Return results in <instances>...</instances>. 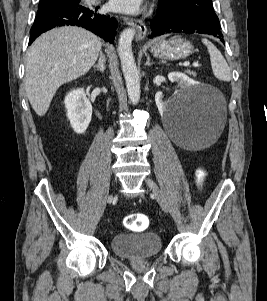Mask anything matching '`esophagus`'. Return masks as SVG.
Listing matches in <instances>:
<instances>
[{"instance_id": "esophagus-1", "label": "esophagus", "mask_w": 267, "mask_h": 301, "mask_svg": "<svg viewBox=\"0 0 267 301\" xmlns=\"http://www.w3.org/2000/svg\"><path fill=\"white\" fill-rule=\"evenodd\" d=\"M124 23H126L129 26H133L137 30L136 34V40H141L145 37L147 28L142 20L136 19V18H130V17H124L123 18Z\"/></svg>"}]
</instances>
